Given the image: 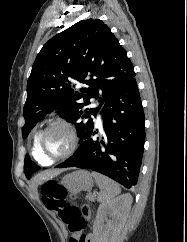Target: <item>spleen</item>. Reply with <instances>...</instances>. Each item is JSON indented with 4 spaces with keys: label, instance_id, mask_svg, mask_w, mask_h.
<instances>
[{
    "label": "spleen",
    "instance_id": "3e777b00",
    "mask_svg": "<svg viewBox=\"0 0 187 242\" xmlns=\"http://www.w3.org/2000/svg\"><path fill=\"white\" fill-rule=\"evenodd\" d=\"M91 176L95 179L100 189V193L97 198L99 202L104 203L106 201L112 200L114 197L121 193L120 186L108 177L97 172H92Z\"/></svg>",
    "mask_w": 187,
    "mask_h": 242
}]
</instances>
